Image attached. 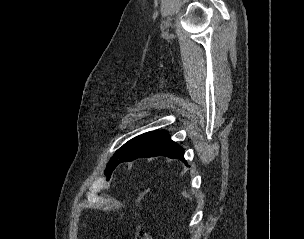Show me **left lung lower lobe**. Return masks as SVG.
<instances>
[{
  "mask_svg": "<svg viewBox=\"0 0 304 239\" xmlns=\"http://www.w3.org/2000/svg\"><path fill=\"white\" fill-rule=\"evenodd\" d=\"M167 156L169 158L184 159V150L173 142L167 131H155L145 139L135 145L119 163L124 161H133L142 157ZM118 163V164H119Z\"/></svg>",
  "mask_w": 304,
  "mask_h": 239,
  "instance_id": "1",
  "label": "left lung lower lobe"
}]
</instances>
